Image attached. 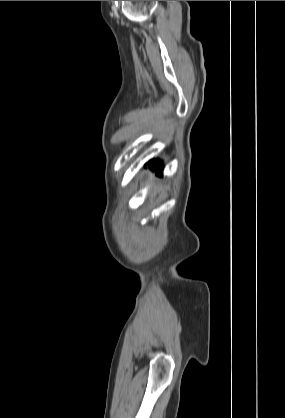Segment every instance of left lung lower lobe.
<instances>
[{"instance_id":"0a47b994","label":"left lung lower lobe","mask_w":285,"mask_h":418,"mask_svg":"<svg viewBox=\"0 0 285 418\" xmlns=\"http://www.w3.org/2000/svg\"><path fill=\"white\" fill-rule=\"evenodd\" d=\"M149 164H150V166H152L153 168H154V166L156 165V169H157V174L158 175H161V173H162V167H161V164L157 161V162H155V161H150L149 162Z\"/></svg>"}]
</instances>
